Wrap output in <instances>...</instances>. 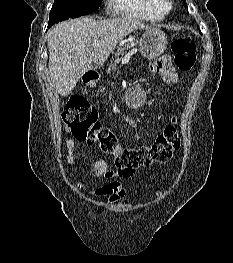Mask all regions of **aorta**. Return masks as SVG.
<instances>
[{
  "instance_id": "762f6f07",
  "label": "aorta",
  "mask_w": 233,
  "mask_h": 263,
  "mask_svg": "<svg viewBox=\"0 0 233 263\" xmlns=\"http://www.w3.org/2000/svg\"><path fill=\"white\" fill-rule=\"evenodd\" d=\"M131 104L134 106H137L140 104V98H138L137 96L131 99Z\"/></svg>"
}]
</instances>
